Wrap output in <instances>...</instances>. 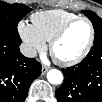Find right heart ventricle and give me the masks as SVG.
<instances>
[{
  "label": "right heart ventricle",
  "mask_w": 102,
  "mask_h": 102,
  "mask_svg": "<svg viewBox=\"0 0 102 102\" xmlns=\"http://www.w3.org/2000/svg\"><path fill=\"white\" fill-rule=\"evenodd\" d=\"M78 16L60 9L45 10L34 13L31 16L32 26L37 33L46 41L52 37L68 22Z\"/></svg>",
  "instance_id": "1"
}]
</instances>
